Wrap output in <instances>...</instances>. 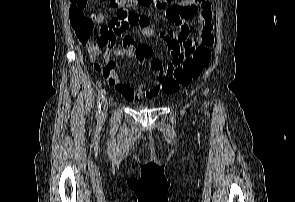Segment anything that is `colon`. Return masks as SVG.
Segmentation results:
<instances>
[{
    "instance_id": "1",
    "label": "colon",
    "mask_w": 295,
    "mask_h": 202,
    "mask_svg": "<svg viewBox=\"0 0 295 202\" xmlns=\"http://www.w3.org/2000/svg\"><path fill=\"white\" fill-rule=\"evenodd\" d=\"M110 6L115 10V19L123 23V27L137 25L138 17L128 12L130 5L162 7L165 0H110ZM71 20L74 32L84 46H97L102 43L99 28L94 26L92 18L85 12L71 9ZM214 36L210 32L202 34L198 45L180 53L174 63L167 65L160 73L159 84L154 87L164 93L172 94L182 86H188L198 78L204 68L211 61V48L214 45ZM100 69V68H99ZM110 76V75H107Z\"/></svg>"
}]
</instances>
